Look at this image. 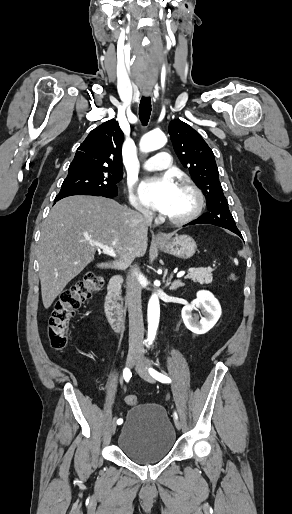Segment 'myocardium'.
I'll return each mask as SVG.
<instances>
[{
    "instance_id": "f54148a6",
    "label": "myocardium",
    "mask_w": 292,
    "mask_h": 514,
    "mask_svg": "<svg viewBox=\"0 0 292 514\" xmlns=\"http://www.w3.org/2000/svg\"><path fill=\"white\" fill-rule=\"evenodd\" d=\"M179 188L190 192L194 199V204L190 212L183 216H173L168 213L165 214L166 218L175 224H182L193 220L201 212L203 207V195L200 189L190 180H183L179 184Z\"/></svg>"
}]
</instances>
